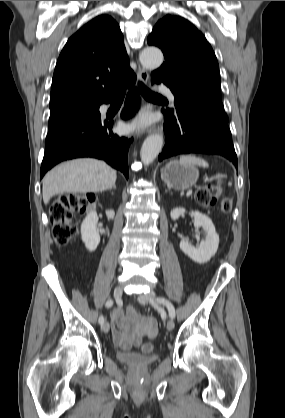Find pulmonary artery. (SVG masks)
Here are the masks:
<instances>
[{
    "instance_id": "obj_1",
    "label": "pulmonary artery",
    "mask_w": 285,
    "mask_h": 418,
    "mask_svg": "<svg viewBox=\"0 0 285 418\" xmlns=\"http://www.w3.org/2000/svg\"><path fill=\"white\" fill-rule=\"evenodd\" d=\"M162 93H164L169 99H173L174 98V92L166 87V86H161L158 88Z\"/></svg>"
}]
</instances>
